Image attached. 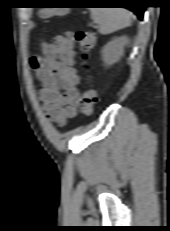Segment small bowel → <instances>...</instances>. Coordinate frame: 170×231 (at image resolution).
<instances>
[{
    "instance_id": "1",
    "label": "small bowel",
    "mask_w": 170,
    "mask_h": 231,
    "mask_svg": "<svg viewBox=\"0 0 170 231\" xmlns=\"http://www.w3.org/2000/svg\"><path fill=\"white\" fill-rule=\"evenodd\" d=\"M74 37L68 32L42 44V55L30 59V66L42 83L39 98L49 119L64 125L80 105V78L74 68Z\"/></svg>"
}]
</instances>
